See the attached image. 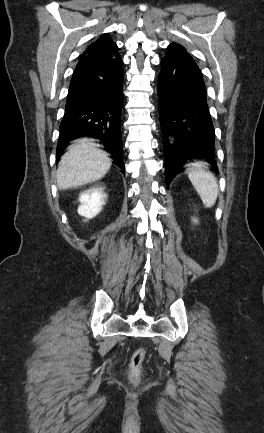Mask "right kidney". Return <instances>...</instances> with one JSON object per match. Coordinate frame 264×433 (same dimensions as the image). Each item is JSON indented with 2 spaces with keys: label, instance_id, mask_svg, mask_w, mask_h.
<instances>
[{
  "label": "right kidney",
  "instance_id": "right-kidney-1",
  "mask_svg": "<svg viewBox=\"0 0 264 433\" xmlns=\"http://www.w3.org/2000/svg\"><path fill=\"white\" fill-rule=\"evenodd\" d=\"M105 197L101 188L83 191L79 197L81 205L78 207V214L87 219L95 217L102 210Z\"/></svg>",
  "mask_w": 264,
  "mask_h": 433
}]
</instances>
